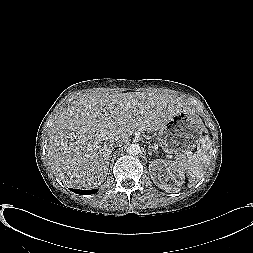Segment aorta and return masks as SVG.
Masks as SVG:
<instances>
[{
	"instance_id": "762f6f07",
	"label": "aorta",
	"mask_w": 253,
	"mask_h": 253,
	"mask_svg": "<svg viewBox=\"0 0 253 253\" xmlns=\"http://www.w3.org/2000/svg\"><path fill=\"white\" fill-rule=\"evenodd\" d=\"M129 155H138L141 152V148L137 143H131L126 149Z\"/></svg>"
}]
</instances>
